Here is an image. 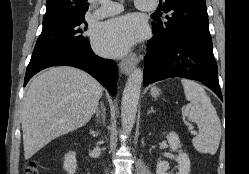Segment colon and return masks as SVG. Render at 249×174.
Masks as SVG:
<instances>
[{
    "label": "colon",
    "instance_id": "1",
    "mask_svg": "<svg viewBox=\"0 0 249 174\" xmlns=\"http://www.w3.org/2000/svg\"><path fill=\"white\" fill-rule=\"evenodd\" d=\"M24 174H42L37 163L35 161H30L24 169Z\"/></svg>",
    "mask_w": 249,
    "mask_h": 174
}]
</instances>
